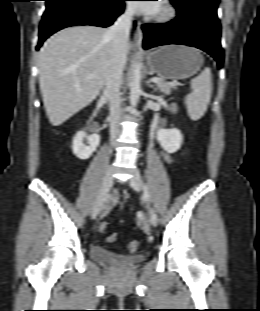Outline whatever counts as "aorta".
I'll return each instance as SVG.
<instances>
[{
    "label": "aorta",
    "instance_id": "762f6f07",
    "mask_svg": "<svg viewBox=\"0 0 260 311\" xmlns=\"http://www.w3.org/2000/svg\"><path fill=\"white\" fill-rule=\"evenodd\" d=\"M142 64L135 62L130 73V103L134 109L139 102L141 94Z\"/></svg>",
    "mask_w": 260,
    "mask_h": 311
}]
</instances>
